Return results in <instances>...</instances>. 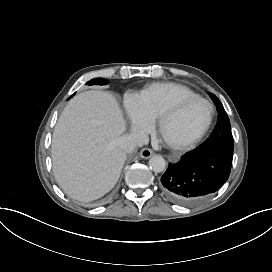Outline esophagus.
<instances>
[{"mask_svg":"<svg viewBox=\"0 0 272 272\" xmlns=\"http://www.w3.org/2000/svg\"><path fill=\"white\" fill-rule=\"evenodd\" d=\"M153 151L150 149V148H143L141 151H140V156L144 159H148L150 158L152 155H153Z\"/></svg>","mask_w":272,"mask_h":272,"instance_id":"esophagus-1","label":"esophagus"}]
</instances>
